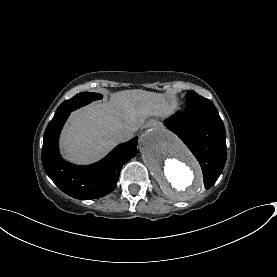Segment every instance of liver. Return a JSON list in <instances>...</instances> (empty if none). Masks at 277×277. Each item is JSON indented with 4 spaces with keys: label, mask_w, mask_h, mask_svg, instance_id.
Returning <instances> with one entry per match:
<instances>
[{
    "label": "liver",
    "mask_w": 277,
    "mask_h": 277,
    "mask_svg": "<svg viewBox=\"0 0 277 277\" xmlns=\"http://www.w3.org/2000/svg\"><path fill=\"white\" fill-rule=\"evenodd\" d=\"M172 111L159 93L143 90L113 93L108 102H95L72 113L61 134V153L76 164L93 163L120 143L114 137L116 130L136 131L147 117H167Z\"/></svg>",
    "instance_id": "6515ba94"
}]
</instances>
